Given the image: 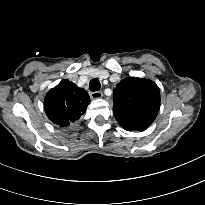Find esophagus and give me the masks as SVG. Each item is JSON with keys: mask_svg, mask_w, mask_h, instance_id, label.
Returning <instances> with one entry per match:
<instances>
[{"mask_svg": "<svg viewBox=\"0 0 205 205\" xmlns=\"http://www.w3.org/2000/svg\"><path fill=\"white\" fill-rule=\"evenodd\" d=\"M91 98L93 99H99L103 96V93L101 91H95V92H91Z\"/></svg>", "mask_w": 205, "mask_h": 205, "instance_id": "1", "label": "esophagus"}]
</instances>
